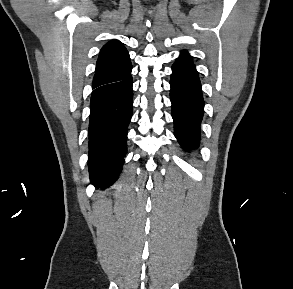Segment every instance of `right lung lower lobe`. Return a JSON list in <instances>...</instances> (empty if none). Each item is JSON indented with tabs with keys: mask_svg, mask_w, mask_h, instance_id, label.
Masks as SVG:
<instances>
[{
	"mask_svg": "<svg viewBox=\"0 0 293 289\" xmlns=\"http://www.w3.org/2000/svg\"><path fill=\"white\" fill-rule=\"evenodd\" d=\"M132 76L93 89L90 101L89 157L91 183L106 188L121 171L132 116Z\"/></svg>",
	"mask_w": 293,
	"mask_h": 289,
	"instance_id": "1",
	"label": "right lung lower lobe"
}]
</instances>
